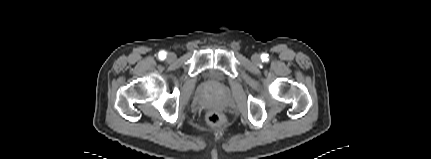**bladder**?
<instances>
[{
  "mask_svg": "<svg viewBox=\"0 0 431 159\" xmlns=\"http://www.w3.org/2000/svg\"><path fill=\"white\" fill-rule=\"evenodd\" d=\"M205 77L208 80L217 82L220 81L223 78V75L220 71L216 70V69H210L205 73Z\"/></svg>",
  "mask_w": 431,
  "mask_h": 159,
  "instance_id": "31cf9c89",
  "label": "bladder"
}]
</instances>
